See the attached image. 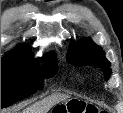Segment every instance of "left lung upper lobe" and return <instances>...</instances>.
<instances>
[{
	"label": "left lung upper lobe",
	"mask_w": 123,
	"mask_h": 113,
	"mask_svg": "<svg viewBox=\"0 0 123 113\" xmlns=\"http://www.w3.org/2000/svg\"><path fill=\"white\" fill-rule=\"evenodd\" d=\"M67 61L75 66L91 65L100 67L106 79L111 75V65L105 58L104 52L88 38L74 42L70 46L67 54Z\"/></svg>",
	"instance_id": "1"
}]
</instances>
